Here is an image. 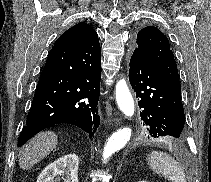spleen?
Here are the masks:
<instances>
[{"mask_svg": "<svg viewBox=\"0 0 211 182\" xmlns=\"http://www.w3.org/2000/svg\"><path fill=\"white\" fill-rule=\"evenodd\" d=\"M149 168L172 182H186L185 172L179 163L169 154L162 151H152L147 156Z\"/></svg>", "mask_w": 211, "mask_h": 182, "instance_id": "3e777b00", "label": "spleen"}]
</instances>
